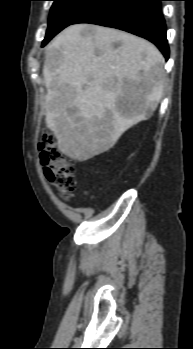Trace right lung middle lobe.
Masks as SVG:
<instances>
[{"mask_svg": "<svg viewBox=\"0 0 193 349\" xmlns=\"http://www.w3.org/2000/svg\"><path fill=\"white\" fill-rule=\"evenodd\" d=\"M54 1L48 21V29L42 46L58 32L72 24L80 15L99 0H52Z\"/></svg>", "mask_w": 193, "mask_h": 349, "instance_id": "dd1d6c3e", "label": "right lung middle lobe"}]
</instances>
